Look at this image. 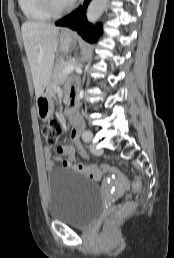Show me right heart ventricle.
<instances>
[{"instance_id":"obj_1","label":"right heart ventricle","mask_w":174,"mask_h":258,"mask_svg":"<svg viewBox=\"0 0 174 258\" xmlns=\"http://www.w3.org/2000/svg\"><path fill=\"white\" fill-rule=\"evenodd\" d=\"M18 2L22 13L29 21L44 22L51 18L42 6L41 0H18Z\"/></svg>"}]
</instances>
